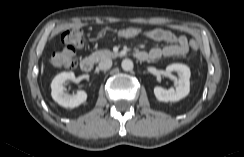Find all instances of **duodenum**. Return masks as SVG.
I'll return each mask as SVG.
<instances>
[{
    "label": "duodenum",
    "instance_id": "1",
    "mask_svg": "<svg viewBox=\"0 0 244 157\" xmlns=\"http://www.w3.org/2000/svg\"><path fill=\"white\" fill-rule=\"evenodd\" d=\"M135 57L140 60V61H144L147 58V55L144 52H136L135 53ZM80 69L85 72V73H90L92 72L93 68H94V61L92 58L90 57H84L80 60Z\"/></svg>",
    "mask_w": 244,
    "mask_h": 157
}]
</instances>
